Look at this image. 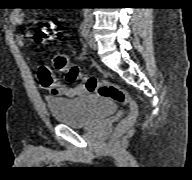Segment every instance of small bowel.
Listing matches in <instances>:
<instances>
[{"mask_svg":"<svg viewBox=\"0 0 192 180\" xmlns=\"http://www.w3.org/2000/svg\"><path fill=\"white\" fill-rule=\"evenodd\" d=\"M10 21L13 25L23 24V13L20 10H14L10 15ZM18 39L22 40L20 37ZM39 79L41 85L54 96L74 98L86 93V89L83 85L66 86L58 82L50 69L45 66H42L39 69Z\"/></svg>","mask_w":192,"mask_h":180,"instance_id":"obj_1","label":"small bowel"}]
</instances>
